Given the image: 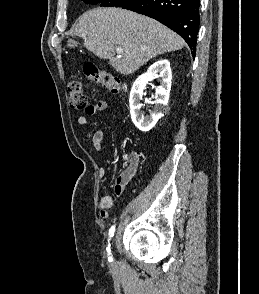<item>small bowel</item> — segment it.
I'll return each mask as SVG.
<instances>
[{
  "instance_id": "c3829d8e",
  "label": "small bowel",
  "mask_w": 259,
  "mask_h": 294,
  "mask_svg": "<svg viewBox=\"0 0 259 294\" xmlns=\"http://www.w3.org/2000/svg\"><path fill=\"white\" fill-rule=\"evenodd\" d=\"M107 102L104 100H98L94 104L87 106L85 113L88 116H94L99 112L106 110ZM77 123L81 126L87 124L86 116H79L77 118ZM87 136L92 142V145L96 151H101L103 148V131L97 130L94 133H88ZM139 164V157L136 153L132 154L129 160L127 168L118 176L114 185V192L119 197L123 194L124 188L129 180L134 176ZM100 178H105L106 170L100 168L98 171ZM100 215L102 218H107L110 215V210L113 207V199L111 196H103L99 203Z\"/></svg>"
}]
</instances>
